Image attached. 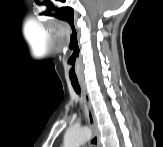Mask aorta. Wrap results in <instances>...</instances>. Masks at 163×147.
I'll list each match as a JSON object with an SVG mask.
<instances>
[{"label": "aorta", "instance_id": "1", "mask_svg": "<svg viewBox=\"0 0 163 147\" xmlns=\"http://www.w3.org/2000/svg\"><path fill=\"white\" fill-rule=\"evenodd\" d=\"M91 130L88 127H70L63 140L64 147H79L89 140Z\"/></svg>", "mask_w": 163, "mask_h": 147}]
</instances>
